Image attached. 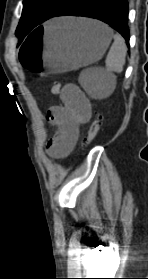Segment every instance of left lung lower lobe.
<instances>
[{"label": "left lung lower lobe", "mask_w": 148, "mask_h": 279, "mask_svg": "<svg viewBox=\"0 0 148 279\" xmlns=\"http://www.w3.org/2000/svg\"><path fill=\"white\" fill-rule=\"evenodd\" d=\"M84 16L99 19L117 30L129 46L127 0H67L52 16Z\"/></svg>", "instance_id": "1"}]
</instances>
